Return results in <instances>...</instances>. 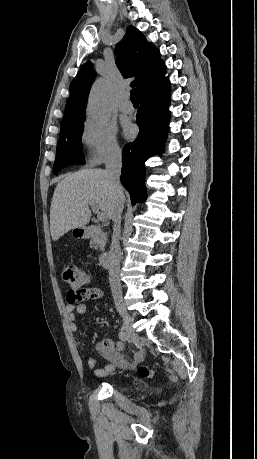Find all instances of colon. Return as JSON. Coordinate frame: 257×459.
Returning <instances> with one entry per match:
<instances>
[{"mask_svg":"<svg viewBox=\"0 0 257 459\" xmlns=\"http://www.w3.org/2000/svg\"><path fill=\"white\" fill-rule=\"evenodd\" d=\"M63 280L73 289L78 290L76 300H85L89 294L86 288H82L88 281L87 273L73 265H66L62 269ZM157 365H142L137 369V374L140 378H150L154 375Z\"/></svg>","mask_w":257,"mask_h":459,"instance_id":"1","label":"colon"}]
</instances>
